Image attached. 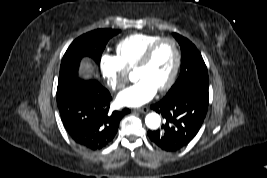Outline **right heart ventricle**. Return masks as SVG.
I'll use <instances>...</instances> for the list:
<instances>
[{
	"mask_svg": "<svg viewBox=\"0 0 267 178\" xmlns=\"http://www.w3.org/2000/svg\"><path fill=\"white\" fill-rule=\"evenodd\" d=\"M160 38V35L146 33L129 35L118 42L117 58L128 71L134 69L145 51Z\"/></svg>",
	"mask_w": 267,
	"mask_h": 178,
	"instance_id": "1",
	"label": "right heart ventricle"
}]
</instances>
